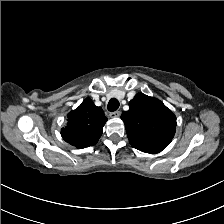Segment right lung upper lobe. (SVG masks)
I'll use <instances>...</instances> for the list:
<instances>
[{
	"label": "right lung upper lobe",
	"instance_id": "obj_1",
	"mask_svg": "<svg viewBox=\"0 0 224 224\" xmlns=\"http://www.w3.org/2000/svg\"><path fill=\"white\" fill-rule=\"evenodd\" d=\"M67 118L68 123L62 128L61 136L77 148L96 144L107 121L102 108L95 106L90 98H86L79 107L68 113Z\"/></svg>",
	"mask_w": 224,
	"mask_h": 224
}]
</instances>
